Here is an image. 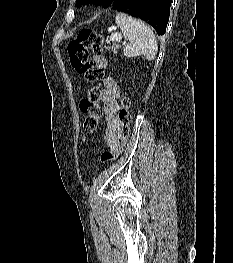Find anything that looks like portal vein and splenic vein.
<instances>
[{
	"instance_id": "obj_1",
	"label": "portal vein and splenic vein",
	"mask_w": 233,
	"mask_h": 263,
	"mask_svg": "<svg viewBox=\"0 0 233 263\" xmlns=\"http://www.w3.org/2000/svg\"><path fill=\"white\" fill-rule=\"evenodd\" d=\"M122 36L119 33H112L109 41H121Z\"/></svg>"
}]
</instances>
